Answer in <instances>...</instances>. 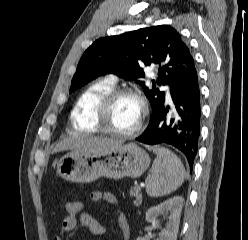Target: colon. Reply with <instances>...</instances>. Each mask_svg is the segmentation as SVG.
Wrapping results in <instances>:
<instances>
[{
	"mask_svg": "<svg viewBox=\"0 0 248 240\" xmlns=\"http://www.w3.org/2000/svg\"><path fill=\"white\" fill-rule=\"evenodd\" d=\"M83 209V202L80 200H70L65 204V212L67 216H76Z\"/></svg>",
	"mask_w": 248,
	"mask_h": 240,
	"instance_id": "5ec220e1",
	"label": "colon"
}]
</instances>
